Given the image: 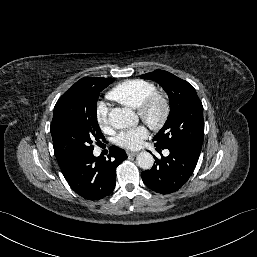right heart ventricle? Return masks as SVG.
Segmentation results:
<instances>
[{
    "mask_svg": "<svg viewBox=\"0 0 257 257\" xmlns=\"http://www.w3.org/2000/svg\"><path fill=\"white\" fill-rule=\"evenodd\" d=\"M154 92H156V87L153 83L142 79H132L113 87L107 93V97L124 106L138 109L142 102Z\"/></svg>",
    "mask_w": 257,
    "mask_h": 257,
    "instance_id": "1",
    "label": "right heart ventricle"
}]
</instances>
